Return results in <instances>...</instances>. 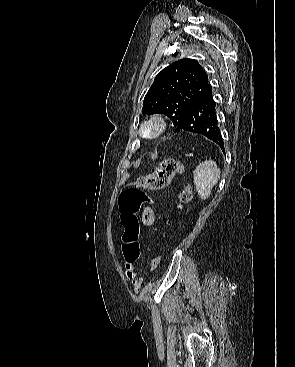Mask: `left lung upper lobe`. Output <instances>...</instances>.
Returning <instances> with one entry per match:
<instances>
[{
  "mask_svg": "<svg viewBox=\"0 0 295 367\" xmlns=\"http://www.w3.org/2000/svg\"><path fill=\"white\" fill-rule=\"evenodd\" d=\"M208 83L207 73L196 60H178L155 77L144 98L142 112L165 114L177 128Z\"/></svg>",
  "mask_w": 295,
  "mask_h": 367,
  "instance_id": "1",
  "label": "left lung upper lobe"
}]
</instances>
